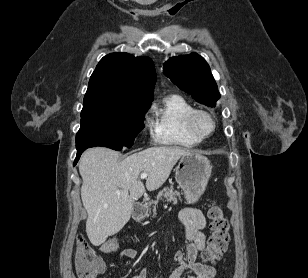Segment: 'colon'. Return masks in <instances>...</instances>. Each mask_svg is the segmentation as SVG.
<instances>
[{"label":"colon","instance_id":"colon-1","mask_svg":"<svg viewBox=\"0 0 308 278\" xmlns=\"http://www.w3.org/2000/svg\"><path fill=\"white\" fill-rule=\"evenodd\" d=\"M210 228L212 234L208 240L207 247L202 254L209 263L218 261L226 252L229 242V223L225 218L223 210L213 203L208 208ZM113 240H105L100 246V253H117L120 250V243ZM121 239L120 237L118 238ZM75 267L79 278H97L104 271V262L89 245L83 235L76 240Z\"/></svg>","mask_w":308,"mask_h":278}]
</instances>
